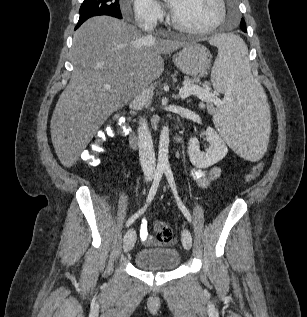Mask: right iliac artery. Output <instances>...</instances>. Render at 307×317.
I'll return each instance as SVG.
<instances>
[{
	"label": "right iliac artery",
	"instance_id": "obj_1",
	"mask_svg": "<svg viewBox=\"0 0 307 317\" xmlns=\"http://www.w3.org/2000/svg\"><path fill=\"white\" fill-rule=\"evenodd\" d=\"M163 172H164V168L162 166H158L156 171H155V175H154V179H153V182L151 184V187H150V190H149V194H148V197H147V200H146V204L145 206L139 210L136 214H134L126 223V226L128 227L130 224H132L135 219H137V217H139L140 214H142L147 206L151 203V201L153 200L156 192H157V189H158V186H159V183L162 179V176H163Z\"/></svg>",
	"mask_w": 307,
	"mask_h": 317
}]
</instances>
